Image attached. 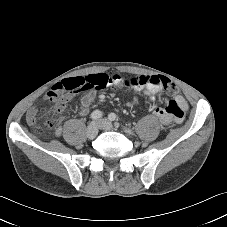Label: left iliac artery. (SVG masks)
<instances>
[{
  "label": "left iliac artery",
  "instance_id": "obj_1",
  "mask_svg": "<svg viewBox=\"0 0 227 227\" xmlns=\"http://www.w3.org/2000/svg\"><path fill=\"white\" fill-rule=\"evenodd\" d=\"M108 118H109V120L114 121L118 126L120 125L119 122H118V117H117V115L115 113H110ZM122 127H123V129H124V131L126 133L134 134V132L131 129H129V128L125 127V126H122Z\"/></svg>",
  "mask_w": 227,
  "mask_h": 227
}]
</instances>
